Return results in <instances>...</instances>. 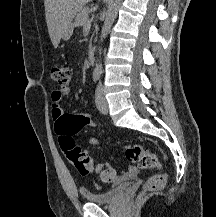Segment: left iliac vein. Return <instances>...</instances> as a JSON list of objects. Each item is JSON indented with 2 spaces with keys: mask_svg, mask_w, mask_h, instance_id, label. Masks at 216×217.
<instances>
[{
  "mask_svg": "<svg viewBox=\"0 0 216 217\" xmlns=\"http://www.w3.org/2000/svg\"><path fill=\"white\" fill-rule=\"evenodd\" d=\"M95 102L98 110L106 115L108 113V103L104 96L102 86L99 85L96 89Z\"/></svg>",
  "mask_w": 216,
  "mask_h": 217,
  "instance_id": "left-iliac-vein-1",
  "label": "left iliac vein"
}]
</instances>
